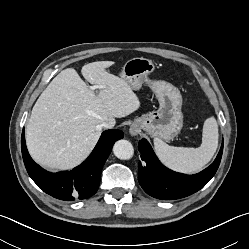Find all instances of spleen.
<instances>
[{
	"label": "spleen",
	"instance_id": "1",
	"mask_svg": "<svg viewBox=\"0 0 249 249\" xmlns=\"http://www.w3.org/2000/svg\"><path fill=\"white\" fill-rule=\"evenodd\" d=\"M218 146V125L214 117L205 120L202 144L198 148L169 146L159 138L154 139V149L167 167L174 171L192 174L201 171L212 159Z\"/></svg>",
	"mask_w": 249,
	"mask_h": 249
}]
</instances>
